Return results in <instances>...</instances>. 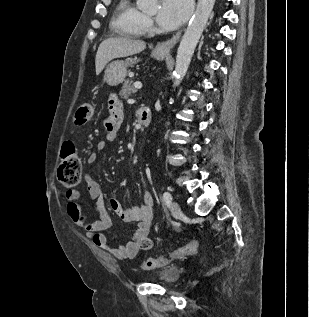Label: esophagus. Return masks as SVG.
Listing matches in <instances>:
<instances>
[{
	"label": "esophagus",
	"instance_id": "esophagus-1",
	"mask_svg": "<svg viewBox=\"0 0 309 317\" xmlns=\"http://www.w3.org/2000/svg\"><path fill=\"white\" fill-rule=\"evenodd\" d=\"M181 35V31L174 35L171 39L160 42L156 45V50L162 53H169L170 50L176 45Z\"/></svg>",
	"mask_w": 309,
	"mask_h": 317
}]
</instances>
